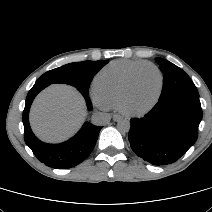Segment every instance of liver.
<instances>
[{
    "mask_svg": "<svg viewBox=\"0 0 212 212\" xmlns=\"http://www.w3.org/2000/svg\"><path fill=\"white\" fill-rule=\"evenodd\" d=\"M86 116L83 98L72 87L51 85L35 99L30 121L35 134L47 142L72 136Z\"/></svg>",
    "mask_w": 212,
    "mask_h": 212,
    "instance_id": "1",
    "label": "liver"
}]
</instances>
